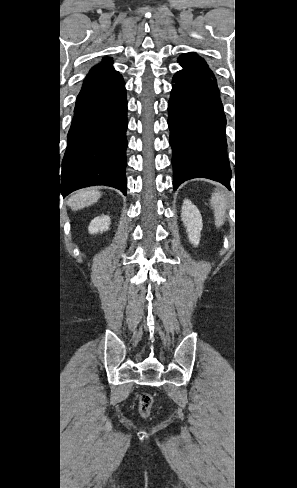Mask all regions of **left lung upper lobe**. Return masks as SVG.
<instances>
[{"label": "left lung upper lobe", "instance_id": "1", "mask_svg": "<svg viewBox=\"0 0 297 488\" xmlns=\"http://www.w3.org/2000/svg\"><path fill=\"white\" fill-rule=\"evenodd\" d=\"M178 62L181 64L183 69L181 72L187 74L188 76L198 80L200 83L213 89L215 92L219 93L217 83L211 80L210 77H214L213 73L209 69L206 62L199 57L196 53L190 52L182 54Z\"/></svg>", "mask_w": 297, "mask_h": 488}]
</instances>
